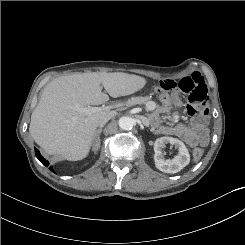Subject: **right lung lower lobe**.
I'll use <instances>...</instances> for the list:
<instances>
[{
  "instance_id": "1",
  "label": "right lung lower lobe",
  "mask_w": 245,
  "mask_h": 245,
  "mask_svg": "<svg viewBox=\"0 0 245 245\" xmlns=\"http://www.w3.org/2000/svg\"><path fill=\"white\" fill-rule=\"evenodd\" d=\"M35 154H36V157L40 160V162H41L43 165H45L46 167L49 165V162H48L46 159H44V158L42 157V155L40 154L39 150L36 149V148H35ZM49 169H50L52 172H54V170H53V168H52L51 166L49 167Z\"/></svg>"
}]
</instances>
